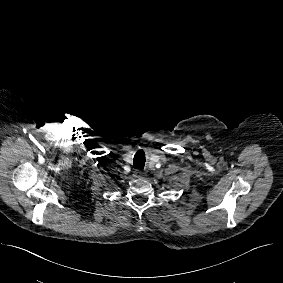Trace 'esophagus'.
Instances as JSON below:
<instances>
[{"mask_svg": "<svg viewBox=\"0 0 283 283\" xmlns=\"http://www.w3.org/2000/svg\"><path fill=\"white\" fill-rule=\"evenodd\" d=\"M135 178L142 179L144 178V173L140 170L135 171L134 173Z\"/></svg>", "mask_w": 283, "mask_h": 283, "instance_id": "obj_1", "label": "esophagus"}]
</instances>
